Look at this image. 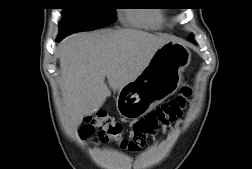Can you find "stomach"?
Segmentation results:
<instances>
[{
  "instance_id": "obj_1",
  "label": "stomach",
  "mask_w": 252,
  "mask_h": 169,
  "mask_svg": "<svg viewBox=\"0 0 252 169\" xmlns=\"http://www.w3.org/2000/svg\"><path fill=\"white\" fill-rule=\"evenodd\" d=\"M190 59L191 53L185 46L172 40L163 44L139 76L118 91L119 115L137 120L173 95L181 85L182 72Z\"/></svg>"
}]
</instances>
